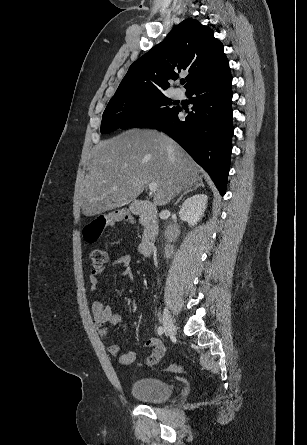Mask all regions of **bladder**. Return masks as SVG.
<instances>
[{
    "label": "bladder",
    "instance_id": "bladder-1",
    "mask_svg": "<svg viewBox=\"0 0 307 445\" xmlns=\"http://www.w3.org/2000/svg\"><path fill=\"white\" fill-rule=\"evenodd\" d=\"M173 386L160 378L142 377L131 385L132 395L147 403H160L168 400L173 394Z\"/></svg>",
    "mask_w": 307,
    "mask_h": 445
}]
</instances>
